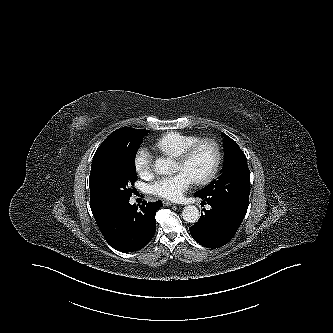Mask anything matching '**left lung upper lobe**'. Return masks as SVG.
I'll list each match as a JSON object with an SVG mask.
<instances>
[{"instance_id":"obj_1","label":"left lung upper lobe","mask_w":333,"mask_h":333,"mask_svg":"<svg viewBox=\"0 0 333 333\" xmlns=\"http://www.w3.org/2000/svg\"><path fill=\"white\" fill-rule=\"evenodd\" d=\"M223 142L225 159L221 174L196 193L217 194L225 199L248 205L250 171L246 156L238 144L225 134H223Z\"/></svg>"}]
</instances>
